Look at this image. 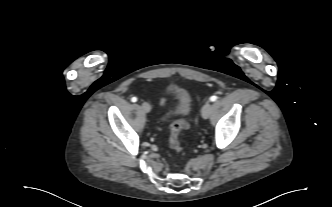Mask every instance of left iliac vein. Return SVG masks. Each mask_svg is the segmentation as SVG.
I'll list each match as a JSON object with an SVG mask.
<instances>
[{
	"label": "left iliac vein",
	"instance_id": "1",
	"mask_svg": "<svg viewBox=\"0 0 332 207\" xmlns=\"http://www.w3.org/2000/svg\"><path fill=\"white\" fill-rule=\"evenodd\" d=\"M210 112H211V103L210 102H206L204 104V106L202 107V110H201V115L204 119H207L210 115Z\"/></svg>",
	"mask_w": 332,
	"mask_h": 207
}]
</instances>
